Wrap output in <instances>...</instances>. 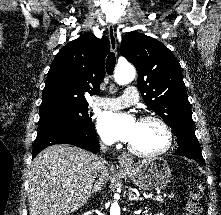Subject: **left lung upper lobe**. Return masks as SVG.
Masks as SVG:
<instances>
[{
    "instance_id": "left-lung-upper-lobe-1",
    "label": "left lung upper lobe",
    "mask_w": 221,
    "mask_h": 215,
    "mask_svg": "<svg viewBox=\"0 0 221 215\" xmlns=\"http://www.w3.org/2000/svg\"><path fill=\"white\" fill-rule=\"evenodd\" d=\"M121 54L138 70V87L145 104L172 128L179 146L200 147L195 136L186 86L174 54L158 40L127 33Z\"/></svg>"
}]
</instances>
